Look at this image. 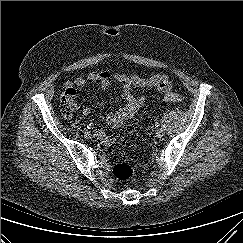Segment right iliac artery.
<instances>
[{"instance_id":"82829eb1","label":"right iliac artery","mask_w":243,"mask_h":243,"mask_svg":"<svg viewBox=\"0 0 243 243\" xmlns=\"http://www.w3.org/2000/svg\"><path fill=\"white\" fill-rule=\"evenodd\" d=\"M92 127H93L92 124H88V125H87V128H88V129H91Z\"/></svg>"}]
</instances>
